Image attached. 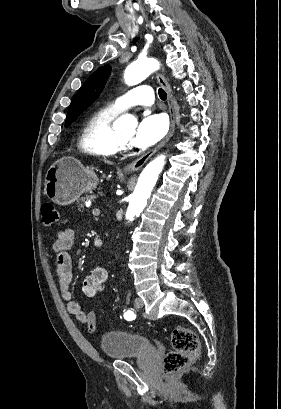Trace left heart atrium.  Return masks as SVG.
<instances>
[{"label":"left heart atrium","mask_w":281,"mask_h":409,"mask_svg":"<svg viewBox=\"0 0 281 409\" xmlns=\"http://www.w3.org/2000/svg\"><path fill=\"white\" fill-rule=\"evenodd\" d=\"M167 121L162 114L145 116L137 126L132 144L139 148H148L160 141L167 131Z\"/></svg>","instance_id":"1"}]
</instances>
